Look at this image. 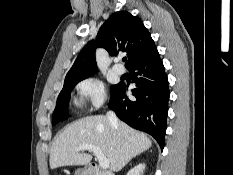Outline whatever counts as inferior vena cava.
<instances>
[{"instance_id": "obj_1", "label": "inferior vena cava", "mask_w": 233, "mask_h": 175, "mask_svg": "<svg viewBox=\"0 0 233 175\" xmlns=\"http://www.w3.org/2000/svg\"><path fill=\"white\" fill-rule=\"evenodd\" d=\"M107 118L109 120V122L113 125V126H117L118 125V119L116 114L113 111H109L107 113Z\"/></svg>"}]
</instances>
